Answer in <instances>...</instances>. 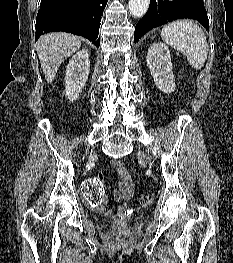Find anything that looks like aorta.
<instances>
[{
	"mask_svg": "<svg viewBox=\"0 0 233 263\" xmlns=\"http://www.w3.org/2000/svg\"><path fill=\"white\" fill-rule=\"evenodd\" d=\"M150 0H129L130 14L140 18L144 16L149 7Z\"/></svg>",
	"mask_w": 233,
	"mask_h": 263,
	"instance_id": "762f6f07",
	"label": "aorta"
}]
</instances>
